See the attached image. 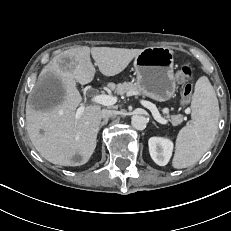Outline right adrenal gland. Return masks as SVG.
Listing matches in <instances>:
<instances>
[{
  "label": "right adrenal gland",
  "mask_w": 231,
  "mask_h": 231,
  "mask_svg": "<svg viewBox=\"0 0 231 231\" xmlns=\"http://www.w3.org/2000/svg\"><path fill=\"white\" fill-rule=\"evenodd\" d=\"M108 123V119H105L101 122L100 128Z\"/></svg>",
  "instance_id": "1"
}]
</instances>
